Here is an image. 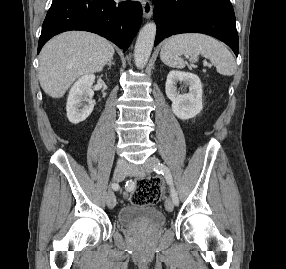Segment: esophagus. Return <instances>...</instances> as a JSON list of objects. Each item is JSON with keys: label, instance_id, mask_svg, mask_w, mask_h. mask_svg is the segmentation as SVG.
I'll use <instances>...</instances> for the list:
<instances>
[{"label": "esophagus", "instance_id": "obj_1", "mask_svg": "<svg viewBox=\"0 0 286 269\" xmlns=\"http://www.w3.org/2000/svg\"><path fill=\"white\" fill-rule=\"evenodd\" d=\"M142 8H143V17L146 19L151 18L153 15V5L151 1L147 0L142 3Z\"/></svg>", "mask_w": 286, "mask_h": 269}]
</instances>
